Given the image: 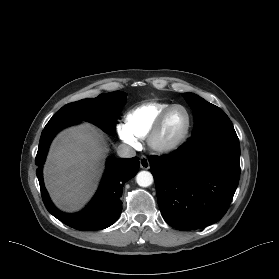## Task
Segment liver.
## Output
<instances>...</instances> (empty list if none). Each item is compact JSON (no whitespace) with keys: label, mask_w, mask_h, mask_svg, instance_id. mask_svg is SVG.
<instances>
[{"label":"liver","mask_w":279,"mask_h":279,"mask_svg":"<svg viewBox=\"0 0 279 279\" xmlns=\"http://www.w3.org/2000/svg\"><path fill=\"white\" fill-rule=\"evenodd\" d=\"M108 151L103 136L87 123L66 129L55 138L44 180L60 209L77 211L91 198Z\"/></svg>","instance_id":"liver-1"}]
</instances>
